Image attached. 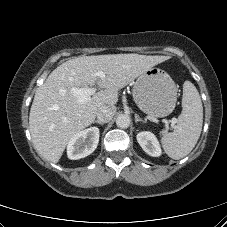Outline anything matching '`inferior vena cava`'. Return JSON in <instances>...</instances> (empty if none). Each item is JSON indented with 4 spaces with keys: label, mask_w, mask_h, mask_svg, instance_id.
Here are the masks:
<instances>
[{
    "label": "inferior vena cava",
    "mask_w": 227,
    "mask_h": 227,
    "mask_svg": "<svg viewBox=\"0 0 227 227\" xmlns=\"http://www.w3.org/2000/svg\"><path fill=\"white\" fill-rule=\"evenodd\" d=\"M116 113V107L110 105L101 106L97 112V118L101 122H109Z\"/></svg>",
    "instance_id": "1"
}]
</instances>
